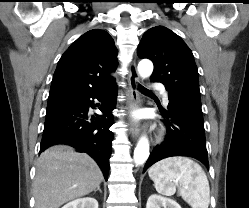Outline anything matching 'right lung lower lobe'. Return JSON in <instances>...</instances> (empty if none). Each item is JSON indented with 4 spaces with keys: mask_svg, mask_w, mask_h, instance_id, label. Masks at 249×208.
I'll use <instances>...</instances> for the list:
<instances>
[{
    "mask_svg": "<svg viewBox=\"0 0 249 208\" xmlns=\"http://www.w3.org/2000/svg\"><path fill=\"white\" fill-rule=\"evenodd\" d=\"M112 91L109 99L106 92ZM117 85H110L90 94L48 102L40 153L52 145L67 144L79 152L89 154L108 179L109 158L112 152V110L116 106ZM102 102L100 111L92 123L88 122V108L94 107L93 99Z\"/></svg>",
    "mask_w": 249,
    "mask_h": 208,
    "instance_id": "98d812e1",
    "label": "right lung lower lobe"
}]
</instances>
